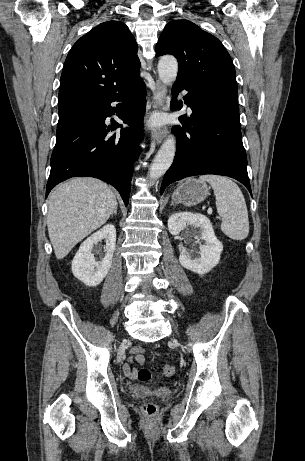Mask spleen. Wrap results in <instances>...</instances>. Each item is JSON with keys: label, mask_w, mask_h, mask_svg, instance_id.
I'll list each match as a JSON object with an SVG mask.
<instances>
[{"label": "spleen", "mask_w": 305, "mask_h": 461, "mask_svg": "<svg viewBox=\"0 0 305 461\" xmlns=\"http://www.w3.org/2000/svg\"><path fill=\"white\" fill-rule=\"evenodd\" d=\"M199 182H208L216 197V208L222 218L221 230L233 240H243L249 234L248 211L244 196L236 183L219 175H202Z\"/></svg>", "instance_id": "1"}]
</instances>
